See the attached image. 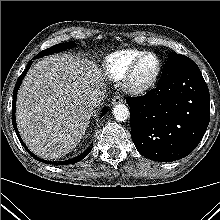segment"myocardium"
I'll return each instance as SVG.
<instances>
[{
    "mask_svg": "<svg viewBox=\"0 0 220 220\" xmlns=\"http://www.w3.org/2000/svg\"><path fill=\"white\" fill-rule=\"evenodd\" d=\"M148 56H152L156 60V67L152 75L144 81L136 79V72L140 63ZM161 71V61L154 52H144L137 57L130 65L125 75L122 78V87L124 91L132 95H140L148 91L157 81Z\"/></svg>",
    "mask_w": 220,
    "mask_h": 220,
    "instance_id": "myocardium-1",
    "label": "myocardium"
}]
</instances>
